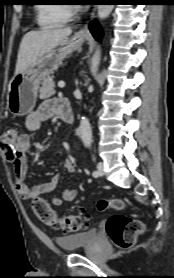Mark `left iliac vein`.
I'll list each match as a JSON object with an SVG mask.
<instances>
[{"label": "left iliac vein", "instance_id": "left-iliac-vein-1", "mask_svg": "<svg viewBox=\"0 0 174 278\" xmlns=\"http://www.w3.org/2000/svg\"><path fill=\"white\" fill-rule=\"evenodd\" d=\"M97 172H98V176H102L104 174V163L103 162H99L97 164Z\"/></svg>", "mask_w": 174, "mask_h": 278}]
</instances>
